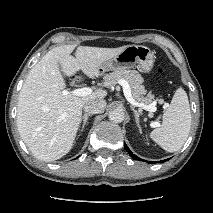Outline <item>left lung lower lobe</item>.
Listing matches in <instances>:
<instances>
[{"label": "left lung lower lobe", "instance_id": "0a47b994", "mask_svg": "<svg viewBox=\"0 0 213 213\" xmlns=\"http://www.w3.org/2000/svg\"><path fill=\"white\" fill-rule=\"evenodd\" d=\"M124 146H125V149H126V151L129 153V155L133 158V159H135V160H142V159H140L139 157H137L135 154H133L131 151H130V149L128 148V146L126 145V144H124ZM168 159H166V160H162V161H160V163H162V162H165V161H167ZM149 163H155V162H153V161H148Z\"/></svg>", "mask_w": 213, "mask_h": 213}]
</instances>
